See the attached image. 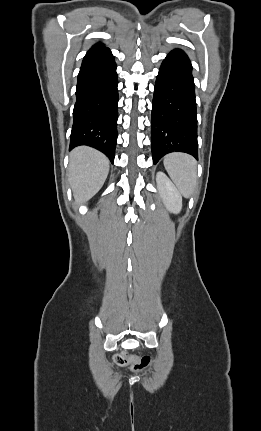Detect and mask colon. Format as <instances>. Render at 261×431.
I'll list each match as a JSON object with an SVG mask.
<instances>
[{
	"instance_id": "1",
	"label": "colon",
	"mask_w": 261,
	"mask_h": 431,
	"mask_svg": "<svg viewBox=\"0 0 261 431\" xmlns=\"http://www.w3.org/2000/svg\"><path fill=\"white\" fill-rule=\"evenodd\" d=\"M113 361L115 364H117L119 366H123V365H126L127 363H129V358L125 352H121V353L116 354L114 356ZM148 363H149V357L144 356L139 361H136L133 363V369L134 370H141L145 366H147Z\"/></svg>"
}]
</instances>
